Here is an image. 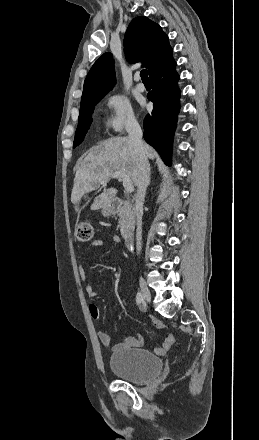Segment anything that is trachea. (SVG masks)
Masks as SVG:
<instances>
[{
    "label": "trachea",
    "instance_id": "obj_1",
    "mask_svg": "<svg viewBox=\"0 0 259 440\" xmlns=\"http://www.w3.org/2000/svg\"><path fill=\"white\" fill-rule=\"evenodd\" d=\"M140 76H141V79H142L143 82H144V81H149V77H148V74H147V70H146V69H143V70L140 72Z\"/></svg>",
    "mask_w": 259,
    "mask_h": 440
}]
</instances>
